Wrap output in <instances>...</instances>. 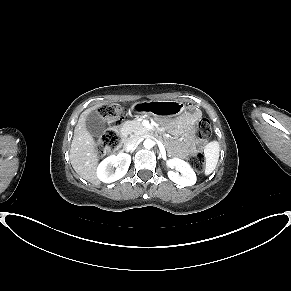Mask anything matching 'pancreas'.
<instances>
[{"label":"pancreas","mask_w":291,"mask_h":291,"mask_svg":"<svg viewBox=\"0 0 291 291\" xmlns=\"http://www.w3.org/2000/svg\"><path fill=\"white\" fill-rule=\"evenodd\" d=\"M125 127H128L129 131L133 132L136 136H140L146 131V128L138 120L126 122Z\"/></svg>","instance_id":"cf45deb5"}]
</instances>
